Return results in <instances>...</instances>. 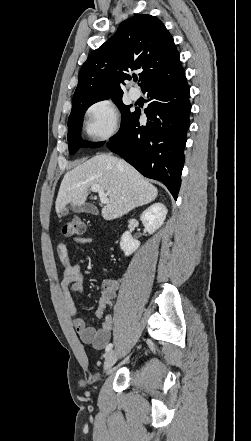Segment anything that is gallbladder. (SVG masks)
Segmentation results:
<instances>
[{
    "label": "gallbladder",
    "mask_w": 251,
    "mask_h": 441,
    "mask_svg": "<svg viewBox=\"0 0 251 441\" xmlns=\"http://www.w3.org/2000/svg\"><path fill=\"white\" fill-rule=\"evenodd\" d=\"M69 209L72 210L75 213H91V214H98L97 208L89 203L83 204V205H72L70 208H65L63 212L67 214L69 212Z\"/></svg>",
    "instance_id": "gallbladder-1"
}]
</instances>
